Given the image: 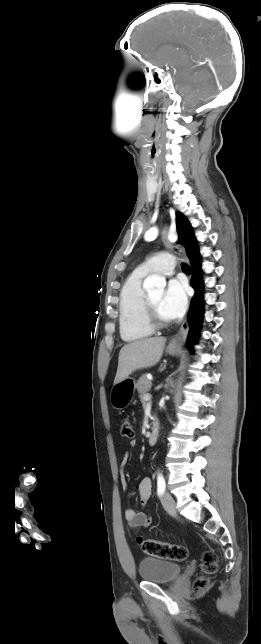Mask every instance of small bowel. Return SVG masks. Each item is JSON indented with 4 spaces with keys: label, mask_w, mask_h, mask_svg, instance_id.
<instances>
[{
    "label": "small bowel",
    "mask_w": 261,
    "mask_h": 644,
    "mask_svg": "<svg viewBox=\"0 0 261 644\" xmlns=\"http://www.w3.org/2000/svg\"><path fill=\"white\" fill-rule=\"evenodd\" d=\"M135 445H136V441L135 440L131 441V446H135ZM128 459H129V453L125 452L121 461V472L124 466L127 464ZM120 480H121L123 489L127 490L128 484L123 474H121ZM151 489H152V483L150 478L148 477L141 479L137 484L136 490L138 492L140 504L142 506H144L150 499ZM124 517L128 528L134 531H138L139 529L148 527L150 525V520L147 514L142 510H135L133 508H128L124 512Z\"/></svg>",
    "instance_id": "1"
}]
</instances>
